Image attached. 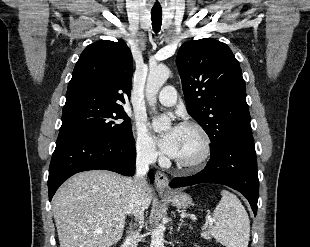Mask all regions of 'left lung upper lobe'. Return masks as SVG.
Returning <instances> with one entry per match:
<instances>
[{"mask_svg": "<svg viewBox=\"0 0 310 247\" xmlns=\"http://www.w3.org/2000/svg\"><path fill=\"white\" fill-rule=\"evenodd\" d=\"M176 63L187 111L208 134L211 151L252 135L245 81L226 44L210 38L188 41L180 47Z\"/></svg>", "mask_w": 310, "mask_h": 247, "instance_id": "5c2ea615", "label": "left lung upper lobe"}]
</instances>
